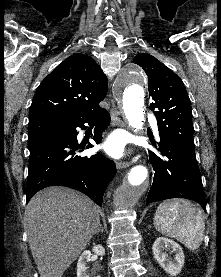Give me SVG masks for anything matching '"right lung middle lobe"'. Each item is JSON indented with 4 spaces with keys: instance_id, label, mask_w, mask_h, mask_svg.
Here are the masks:
<instances>
[{
    "instance_id": "obj_1",
    "label": "right lung middle lobe",
    "mask_w": 221,
    "mask_h": 277,
    "mask_svg": "<svg viewBox=\"0 0 221 277\" xmlns=\"http://www.w3.org/2000/svg\"><path fill=\"white\" fill-rule=\"evenodd\" d=\"M54 122H44L28 125L29 148H33L55 134Z\"/></svg>"
}]
</instances>
